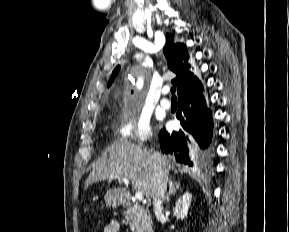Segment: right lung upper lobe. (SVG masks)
Masks as SVG:
<instances>
[{
    "label": "right lung upper lobe",
    "instance_id": "obj_1",
    "mask_svg": "<svg viewBox=\"0 0 289 232\" xmlns=\"http://www.w3.org/2000/svg\"><path fill=\"white\" fill-rule=\"evenodd\" d=\"M169 69L176 73L177 77L172 81L178 86V99L184 95L203 90L201 81L191 72V65L188 63L189 55L186 45L181 43L174 44V36L166 34V45L163 49ZM120 66H117L109 81L108 87L118 74Z\"/></svg>",
    "mask_w": 289,
    "mask_h": 232
}]
</instances>
